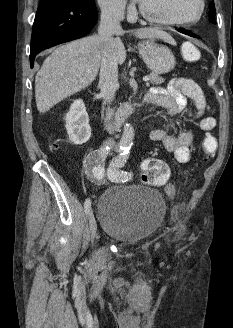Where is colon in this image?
<instances>
[{
  "label": "colon",
  "instance_id": "colon-1",
  "mask_svg": "<svg viewBox=\"0 0 233 328\" xmlns=\"http://www.w3.org/2000/svg\"><path fill=\"white\" fill-rule=\"evenodd\" d=\"M183 56L186 60L194 62L200 58V52L191 43H186L182 48ZM203 151L205 159H210L217 148V141L215 137L208 135L203 141ZM170 175L167 164L159 159H146L142 163V181L145 184L153 186L164 185Z\"/></svg>",
  "mask_w": 233,
  "mask_h": 328
}]
</instances>
